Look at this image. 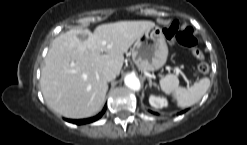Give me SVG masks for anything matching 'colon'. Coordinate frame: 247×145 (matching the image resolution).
Listing matches in <instances>:
<instances>
[{"mask_svg":"<svg viewBox=\"0 0 247 145\" xmlns=\"http://www.w3.org/2000/svg\"><path fill=\"white\" fill-rule=\"evenodd\" d=\"M164 36L170 42H176L191 49L193 55L201 61L198 65V71L201 74H207L209 72L210 67L203 61L204 55L197 46V38L191 28H181L179 22L174 21L165 28Z\"/></svg>","mask_w":247,"mask_h":145,"instance_id":"obj_1","label":"colon"}]
</instances>
